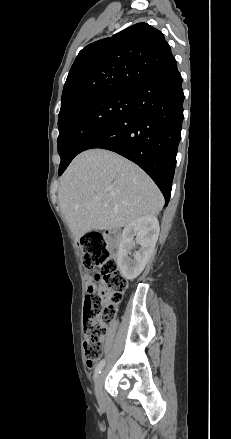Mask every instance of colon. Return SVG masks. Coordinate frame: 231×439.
<instances>
[{"instance_id": "obj_1", "label": "colon", "mask_w": 231, "mask_h": 439, "mask_svg": "<svg viewBox=\"0 0 231 439\" xmlns=\"http://www.w3.org/2000/svg\"><path fill=\"white\" fill-rule=\"evenodd\" d=\"M79 248L83 268L96 271L99 286L98 290L88 292L84 301V353L89 367H92L101 355L102 338L114 315L113 305L120 301L127 282L102 234H86L80 240ZM105 299L111 304L105 305Z\"/></svg>"}]
</instances>
